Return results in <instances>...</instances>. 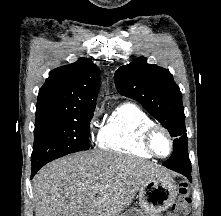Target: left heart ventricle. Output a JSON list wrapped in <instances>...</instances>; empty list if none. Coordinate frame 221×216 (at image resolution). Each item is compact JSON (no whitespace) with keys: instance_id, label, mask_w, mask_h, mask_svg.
Wrapping results in <instances>:
<instances>
[{"instance_id":"1","label":"left heart ventricle","mask_w":221,"mask_h":216,"mask_svg":"<svg viewBox=\"0 0 221 216\" xmlns=\"http://www.w3.org/2000/svg\"><path fill=\"white\" fill-rule=\"evenodd\" d=\"M154 146H155L156 150L158 151V153H160V154H167L168 151H169L168 140L161 133H158V134L155 135V137H154Z\"/></svg>"}]
</instances>
